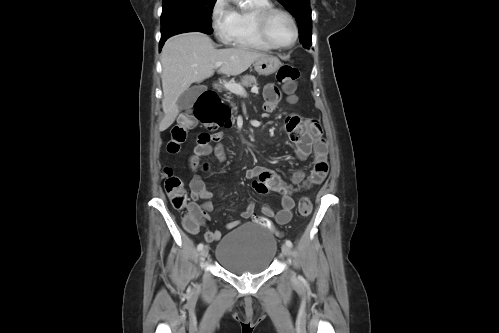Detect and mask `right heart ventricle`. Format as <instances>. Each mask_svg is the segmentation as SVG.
<instances>
[{
  "label": "right heart ventricle",
  "mask_w": 499,
  "mask_h": 333,
  "mask_svg": "<svg viewBox=\"0 0 499 333\" xmlns=\"http://www.w3.org/2000/svg\"><path fill=\"white\" fill-rule=\"evenodd\" d=\"M251 8L234 10L235 24L231 44L238 48L269 51L273 49L260 36L256 25L257 13L271 6L270 0H250Z\"/></svg>",
  "instance_id": "1"
}]
</instances>
